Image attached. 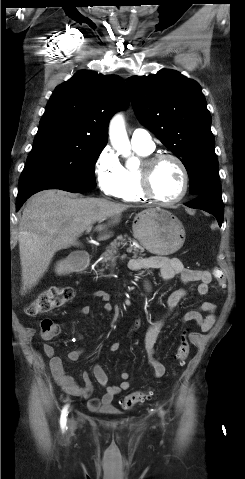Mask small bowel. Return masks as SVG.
<instances>
[{
  "mask_svg": "<svg viewBox=\"0 0 245 479\" xmlns=\"http://www.w3.org/2000/svg\"><path fill=\"white\" fill-rule=\"evenodd\" d=\"M129 268L132 271H140L146 269H155L160 272L164 281H170L174 277L179 276L183 283L188 284L197 283L196 292L199 295H205L208 292V286L212 280L211 273L207 270L188 269L185 268L182 262L177 258H167L162 256H155L150 258H135L129 261ZM94 296L103 302L105 311L112 310L110 302L111 296L105 291H96ZM187 296L185 289H177L173 291L167 298V310L165 313L157 317L149 326L145 339L144 349L148 357V364L153 370L155 378H161L166 371L162 362L156 357V343L158 335L164 326L168 317L172 314L179 302ZM90 306L86 305L80 309L82 315L90 312ZM216 306L207 300L200 303L195 310L188 311L181 319L182 322H195L202 332H208L212 329L216 322L215 314ZM203 313L206 315L203 316ZM139 326V322L133 323L130 332L135 331ZM120 349L118 342H112L109 345V350L117 352ZM42 351L49 358V365L51 372L61 387V389L68 395L81 397L87 400V407L90 411H105L112 407L114 398L122 391H126L131 387L129 382V373L121 371L120 377L122 382L118 386L108 384V376L105 370L98 364L92 368L93 376L98 384L105 388V393L101 397L93 396V384L88 372L82 373L83 384H78L75 380L67 374L62 359L55 354V349L51 344H44ZM83 353V349H72L68 352V359L70 361H77Z\"/></svg>",
  "mask_w": 245,
  "mask_h": 479,
  "instance_id": "small-bowel-1",
  "label": "small bowel"
}]
</instances>
